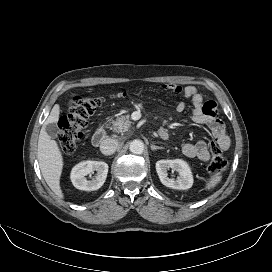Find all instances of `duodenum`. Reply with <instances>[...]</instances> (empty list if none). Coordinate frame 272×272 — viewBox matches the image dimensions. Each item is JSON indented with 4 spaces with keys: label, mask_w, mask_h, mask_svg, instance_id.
Wrapping results in <instances>:
<instances>
[{
    "label": "duodenum",
    "mask_w": 272,
    "mask_h": 272,
    "mask_svg": "<svg viewBox=\"0 0 272 272\" xmlns=\"http://www.w3.org/2000/svg\"><path fill=\"white\" fill-rule=\"evenodd\" d=\"M106 138V130L104 128H98L92 136V144L99 146Z\"/></svg>",
    "instance_id": "1"
}]
</instances>
